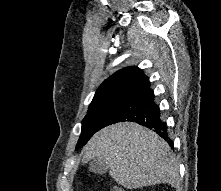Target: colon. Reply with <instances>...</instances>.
Segmentation results:
<instances>
[{
    "label": "colon",
    "instance_id": "5ec220e1",
    "mask_svg": "<svg viewBox=\"0 0 221 191\" xmlns=\"http://www.w3.org/2000/svg\"><path fill=\"white\" fill-rule=\"evenodd\" d=\"M110 191H125L120 187H113Z\"/></svg>",
    "mask_w": 221,
    "mask_h": 191
}]
</instances>
